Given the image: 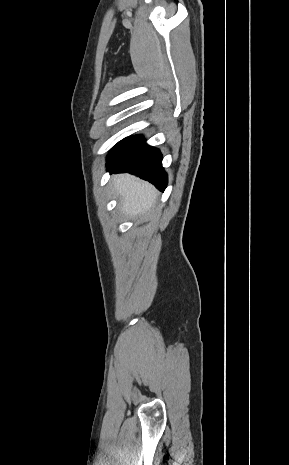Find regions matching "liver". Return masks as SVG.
<instances>
[{
    "mask_svg": "<svg viewBox=\"0 0 289 465\" xmlns=\"http://www.w3.org/2000/svg\"><path fill=\"white\" fill-rule=\"evenodd\" d=\"M113 182L125 214L134 218L144 217L155 207L158 193L148 182L129 174L117 175Z\"/></svg>",
    "mask_w": 289,
    "mask_h": 465,
    "instance_id": "6515ba94",
    "label": "liver"
}]
</instances>
